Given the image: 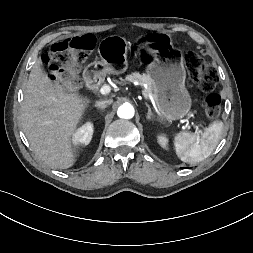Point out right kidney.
I'll list each match as a JSON object with an SVG mask.
<instances>
[{
	"instance_id": "1",
	"label": "right kidney",
	"mask_w": 253,
	"mask_h": 253,
	"mask_svg": "<svg viewBox=\"0 0 253 253\" xmlns=\"http://www.w3.org/2000/svg\"><path fill=\"white\" fill-rule=\"evenodd\" d=\"M93 135V124L87 122L82 125L73 135V142L75 144L88 145Z\"/></svg>"
}]
</instances>
